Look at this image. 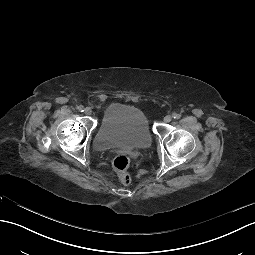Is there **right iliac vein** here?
<instances>
[{
    "instance_id": "obj_1",
    "label": "right iliac vein",
    "mask_w": 255,
    "mask_h": 255,
    "mask_svg": "<svg viewBox=\"0 0 255 255\" xmlns=\"http://www.w3.org/2000/svg\"><path fill=\"white\" fill-rule=\"evenodd\" d=\"M84 113H85L86 115H91V113H92L91 108H89V107L85 108Z\"/></svg>"
}]
</instances>
